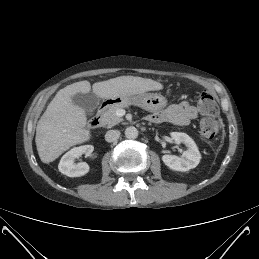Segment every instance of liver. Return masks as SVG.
<instances>
[{"mask_svg":"<svg viewBox=\"0 0 259 259\" xmlns=\"http://www.w3.org/2000/svg\"><path fill=\"white\" fill-rule=\"evenodd\" d=\"M161 89V83L135 76H120L96 82L92 86L93 93L103 99ZM90 90L91 85L86 80L73 83L59 90L47 106L38 121L35 137L37 151L43 163H50L70 147L89 140L90 132L85 129V111L73 104L72 96L76 93H88Z\"/></svg>","mask_w":259,"mask_h":259,"instance_id":"1","label":"liver"}]
</instances>
